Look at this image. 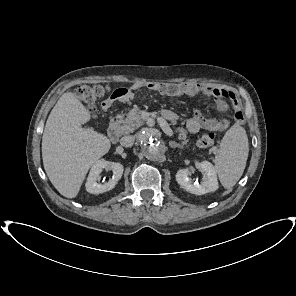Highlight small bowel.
I'll use <instances>...</instances> for the list:
<instances>
[{"label": "small bowel", "instance_id": "1", "mask_svg": "<svg viewBox=\"0 0 296 296\" xmlns=\"http://www.w3.org/2000/svg\"><path fill=\"white\" fill-rule=\"evenodd\" d=\"M147 87L150 90L157 91L163 95L171 97L195 96L198 94L212 97L215 106L219 111L233 110V120L235 123H242L244 120L241 106L235 93L229 89L217 88L204 84L185 82V83H159L149 82L146 85L135 83L129 89H123V93L118 95L113 93L103 102V108H110L115 102H128L135 97V92ZM163 116L168 121L175 123L177 115L171 110H164ZM232 120L230 118H208L197 112L186 122V128L189 133L196 134L201 130H211L223 132L230 127Z\"/></svg>", "mask_w": 296, "mask_h": 296}]
</instances>
